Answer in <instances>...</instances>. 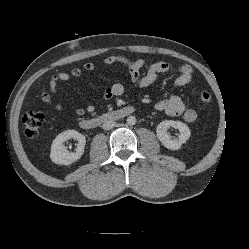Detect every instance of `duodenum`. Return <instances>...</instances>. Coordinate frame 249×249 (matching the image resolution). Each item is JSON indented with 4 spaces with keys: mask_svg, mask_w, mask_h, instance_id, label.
Listing matches in <instances>:
<instances>
[{
    "mask_svg": "<svg viewBox=\"0 0 249 249\" xmlns=\"http://www.w3.org/2000/svg\"><path fill=\"white\" fill-rule=\"evenodd\" d=\"M134 111V107L125 106L110 112L101 113L95 117L84 118L80 121L79 125L83 130H92L106 121L123 119L134 113Z\"/></svg>",
    "mask_w": 249,
    "mask_h": 249,
    "instance_id": "410a0bca",
    "label": "duodenum"
}]
</instances>
